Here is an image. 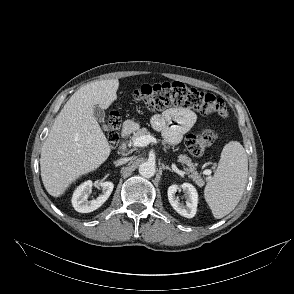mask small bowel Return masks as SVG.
<instances>
[{
    "mask_svg": "<svg viewBox=\"0 0 294 294\" xmlns=\"http://www.w3.org/2000/svg\"><path fill=\"white\" fill-rule=\"evenodd\" d=\"M151 123L156 130L163 133L168 143L174 145L195 125L196 115L188 108L172 107L154 115Z\"/></svg>",
    "mask_w": 294,
    "mask_h": 294,
    "instance_id": "c3829d8e",
    "label": "small bowel"
}]
</instances>
